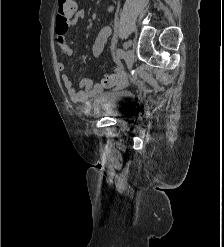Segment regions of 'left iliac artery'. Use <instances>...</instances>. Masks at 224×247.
<instances>
[{
	"label": "left iliac artery",
	"instance_id": "1",
	"mask_svg": "<svg viewBox=\"0 0 224 247\" xmlns=\"http://www.w3.org/2000/svg\"><path fill=\"white\" fill-rule=\"evenodd\" d=\"M125 55L124 51L122 49H117V56L119 58H123Z\"/></svg>",
	"mask_w": 224,
	"mask_h": 247
}]
</instances>
